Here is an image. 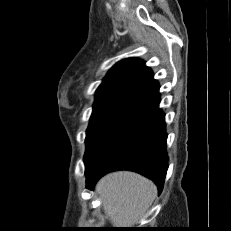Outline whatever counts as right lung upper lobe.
<instances>
[{"instance_id":"right-lung-upper-lobe-1","label":"right lung upper lobe","mask_w":231,"mask_h":231,"mask_svg":"<svg viewBox=\"0 0 231 231\" xmlns=\"http://www.w3.org/2000/svg\"><path fill=\"white\" fill-rule=\"evenodd\" d=\"M159 84L143 60L129 58L115 64L96 90V100L129 97L148 103L160 102Z\"/></svg>"}]
</instances>
